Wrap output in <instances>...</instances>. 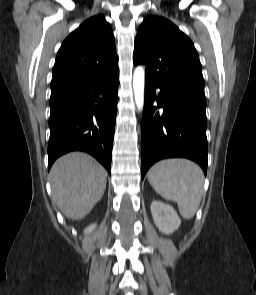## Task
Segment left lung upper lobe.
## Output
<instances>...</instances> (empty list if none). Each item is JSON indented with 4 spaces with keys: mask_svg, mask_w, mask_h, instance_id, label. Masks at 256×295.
Wrapping results in <instances>:
<instances>
[{
    "mask_svg": "<svg viewBox=\"0 0 256 295\" xmlns=\"http://www.w3.org/2000/svg\"><path fill=\"white\" fill-rule=\"evenodd\" d=\"M133 62L176 95L206 103L201 63L192 41L169 20L149 15L135 39Z\"/></svg>",
    "mask_w": 256,
    "mask_h": 295,
    "instance_id": "obj_1",
    "label": "left lung upper lobe"
}]
</instances>
